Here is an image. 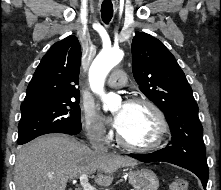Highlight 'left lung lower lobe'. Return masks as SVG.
Wrapping results in <instances>:
<instances>
[{
	"mask_svg": "<svg viewBox=\"0 0 221 190\" xmlns=\"http://www.w3.org/2000/svg\"><path fill=\"white\" fill-rule=\"evenodd\" d=\"M130 156L142 162L163 161L183 167L196 174L206 190L209 170L205 155L195 153H179L172 150L169 146L153 153L130 154Z\"/></svg>",
	"mask_w": 221,
	"mask_h": 190,
	"instance_id": "1",
	"label": "left lung lower lobe"
}]
</instances>
